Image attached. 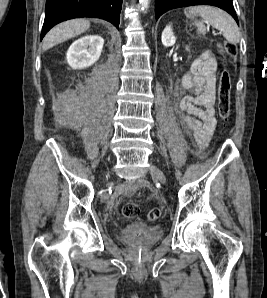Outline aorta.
Instances as JSON below:
<instances>
[{"mask_svg": "<svg viewBox=\"0 0 267 298\" xmlns=\"http://www.w3.org/2000/svg\"><path fill=\"white\" fill-rule=\"evenodd\" d=\"M141 6H142V9L144 8H147L149 3H150V0H139Z\"/></svg>", "mask_w": 267, "mask_h": 298, "instance_id": "1", "label": "aorta"}]
</instances>
